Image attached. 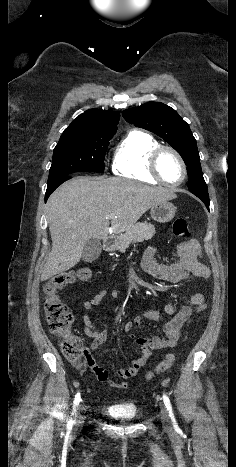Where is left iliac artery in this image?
<instances>
[{
    "instance_id": "obj_1",
    "label": "left iliac artery",
    "mask_w": 236,
    "mask_h": 467,
    "mask_svg": "<svg viewBox=\"0 0 236 467\" xmlns=\"http://www.w3.org/2000/svg\"><path fill=\"white\" fill-rule=\"evenodd\" d=\"M163 402H164L167 410L169 411V416H170V418L172 420V423H173L174 427H177V422H176L174 414H173V410H172L170 400L165 394L163 395Z\"/></svg>"
}]
</instances>
